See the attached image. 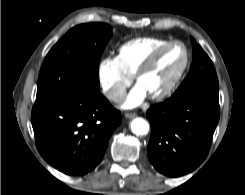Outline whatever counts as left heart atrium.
<instances>
[{"mask_svg":"<svg viewBox=\"0 0 245 195\" xmlns=\"http://www.w3.org/2000/svg\"><path fill=\"white\" fill-rule=\"evenodd\" d=\"M146 95V91L139 84H137L128 95L124 103V107L133 108L138 106L144 100Z\"/></svg>","mask_w":245,"mask_h":195,"instance_id":"left-heart-atrium-1","label":"left heart atrium"}]
</instances>
